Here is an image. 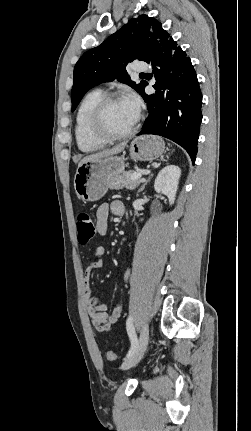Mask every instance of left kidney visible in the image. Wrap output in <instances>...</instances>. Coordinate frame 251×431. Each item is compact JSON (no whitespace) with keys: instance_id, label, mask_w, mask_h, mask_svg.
Returning <instances> with one entry per match:
<instances>
[{"instance_id":"obj_1","label":"left kidney","mask_w":251,"mask_h":431,"mask_svg":"<svg viewBox=\"0 0 251 431\" xmlns=\"http://www.w3.org/2000/svg\"><path fill=\"white\" fill-rule=\"evenodd\" d=\"M180 176L181 170L178 166L167 165L158 173L155 179V191L167 195L170 205L174 204Z\"/></svg>"}]
</instances>
